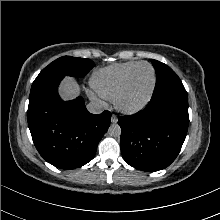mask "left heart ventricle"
I'll list each match as a JSON object with an SVG mask.
<instances>
[{"label":"left heart ventricle","mask_w":220,"mask_h":220,"mask_svg":"<svg viewBox=\"0 0 220 220\" xmlns=\"http://www.w3.org/2000/svg\"><path fill=\"white\" fill-rule=\"evenodd\" d=\"M151 83V69L146 65L138 67L131 77L128 89L123 97V104L134 106L140 103L147 95Z\"/></svg>","instance_id":"obj_1"}]
</instances>
